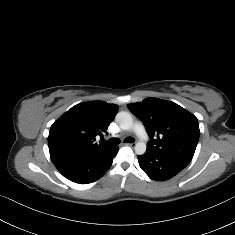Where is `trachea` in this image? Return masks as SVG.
I'll return each mask as SVG.
<instances>
[{
	"mask_svg": "<svg viewBox=\"0 0 235 235\" xmlns=\"http://www.w3.org/2000/svg\"><path fill=\"white\" fill-rule=\"evenodd\" d=\"M125 143H133L134 138L133 137H127L124 140ZM105 144L107 145H118L120 143V140L118 138H111L108 141H104Z\"/></svg>",
	"mask_w": 235,
	"mask_h": 235,
	"instance_id": "3493384b",
	"label": "trachea"
}]
</instances>
